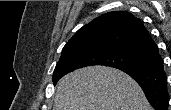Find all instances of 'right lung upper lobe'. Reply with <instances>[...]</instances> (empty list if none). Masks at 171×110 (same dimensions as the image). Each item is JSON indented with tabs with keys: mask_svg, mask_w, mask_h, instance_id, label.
<instances>
[{
	"mask_svg": "<svg viewBox=\"0 0 171 110\" xmlns=\"http://www.w3.org/2000/svg\"><path fill=\"white\" fill-rule=\"evenodd\" d=\"M87 43L125 46L146 55L160 57L157 45L141 20L127 11L109 12L99 16L80 28L63 49Z\"/></svg>",
	"mask_w": 171,
	"mask_h": 110,
	"instance_id": "obj_1",
	"label": "right lung upper lobe"
}]
</instances>
